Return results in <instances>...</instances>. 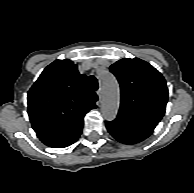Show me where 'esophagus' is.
<instances>
[{"mask_svg":"<svg viewBox=\"0 0 194 193\" xmlns=\"http://www.w3.org/2000/svg\"><path fill=\"white\" fill-rule=\"evenodd\" d=\"M97 95L99 97V100H101V98H102V88H99V90L97 91Z\"/></svg>","mask_w":194,"mask_h":193,"instance_id":"1","label":"esophagus"}]
</instances>
